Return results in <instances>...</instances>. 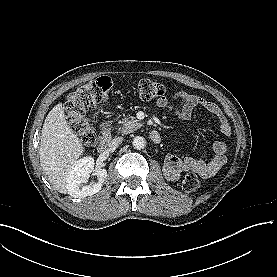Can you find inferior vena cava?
I'll list each match as a JSON object with an SVG mask.
<instances>
[{"instance_id": "602c4592", "label": "inferior vena cava", "mask_w": 277, "mask_h": 277, "mask_svg": "<svg viewBox=\"0 0 277 277\" xmlns=\"http://www.w3.org/2000/svg\"><path fill=\"white\" fill-rule=\"evenodd\" d=\"M122 143L121 137H115L107 142L106 146L109 151L116 149Z\"/></svg>"}]
</instances>
